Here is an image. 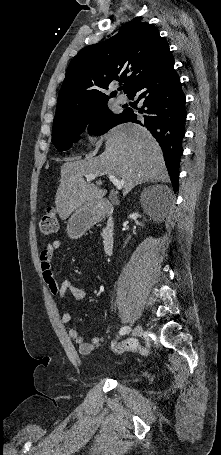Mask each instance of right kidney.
<instances>
[{"label":"right kidney","instance_id":"right-kidney-1","mask_svg":"<svg viewBox=\"0 0 221 455\" xmlns=\"http://www.w3.org/2000/svg\"><path fill=\"white\" fill-rule=\"evenodd\" d=\"M138 217H140V215L138 213H133V214L130 215V218L135 220L137 225H140V223L137 221Z\"/></svg>","mask_w":221,"mask_h":455}]
</instances>
